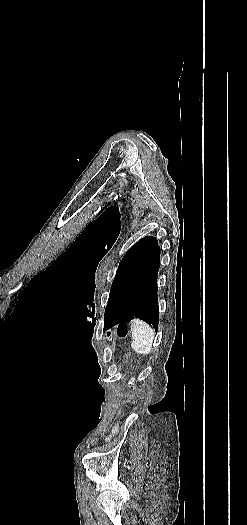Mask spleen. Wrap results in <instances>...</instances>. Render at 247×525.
Listing matches in <instances>:
<instances>
[{"label":"spleen","instance_id":"obj_1","mask_svg":"<svg viewBox=\"0 0 247 525\" xmlns=\"http://www.w3.org/2000/svg\"><path fill=\"white\" fill-rule=\"evenodd\" d=\"M155 333L145 321L140 319H133L132 321V343L131 347L135 353L139 355H149L152 351V345L154 341Z\"/></svg>","mask_w":247,"mask_h":525}]
</instances>
